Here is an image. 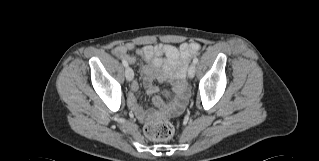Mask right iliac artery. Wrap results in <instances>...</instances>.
<instances>
[{
    "mask_svg": "<svg viewBox=\"0 0 319 161\" xmlns=\"http://www.w3.org/2000/svg\"><path fill=\"white\" fill-rule=\"evenodd\" d=\"M122 64H123L125 67L128 66V63H127V61H125V60H122Z\"/></svg>",
    "mask_w": 319,
    "mask_h": 161,
    "instance_id": "right-iliac-artery-1",
    "label": "right iliac artery"
}]
</instances>
